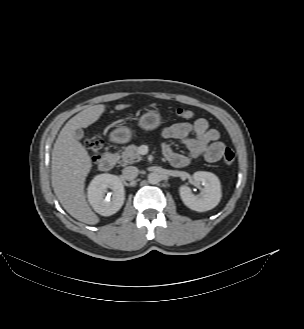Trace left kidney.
<instances>
[{
    "label": "left kidney",
    "instance_id": "obj_1",
    "mask_svg": "<svg viewBox=\"0 0 304 329\" xmlns=\"http://www.w3.org/2000/svg\"><path fill=\"white\" fill-rule=\"evenodd\" d=\"M193 179L196 183L204 185L202 196L194 195L188 186L183 185L179 188L183 203L188 208L198 212L208 211L216 207L222 195L218 177L210 172L197 171L193 174Z\"/></svg>",
    "mask_w": 304,
    "mask_h": 329
}]
</instances>
